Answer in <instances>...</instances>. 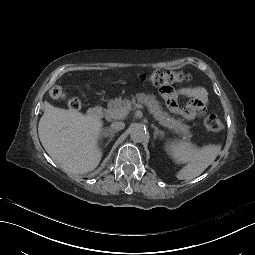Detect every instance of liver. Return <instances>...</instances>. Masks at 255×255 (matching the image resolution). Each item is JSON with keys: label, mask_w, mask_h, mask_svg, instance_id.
Returning a JSON list of instances; mask_svg holds the SVG:
<instances>
[{"label": "liver", "mask_w": 255, "mask_h": 255, "mask_svg": "<svg viewBox=\"0 0 255 255\" xmlns=\"http://www.w3.org/2000/svg\"><path fill=\"white\" fill-rule=\"evenodd\" d=\"M38 134L48 155L64 170L87 174L101 162L98 147L103 121L82 113L61 109L44 102Z\"/></svg>", "instance_id": "obj_1"}]
</instances>
